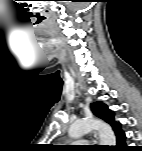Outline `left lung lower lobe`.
<instances>
[{
	"label": "left lung lower lobe",
	"instance_id": "obj_1",
	"mask_svg": "<svg viewBox=\"0 0 142 151\" xmlns=\"http://www.w3.org/2000/svg\"><path fill=\"white\" fill-rule=\"evenodd\" d=\"M116 137H117V146L115 147L116 150L117 151L129 150L127 149L128 147L125 145V139H126L125 133L122 131Z\"/></svg>",
	"mask_w": 142,
	"mask_h": 151
}]
</instances>
